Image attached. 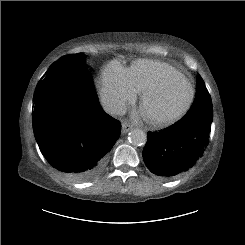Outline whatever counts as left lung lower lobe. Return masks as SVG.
<instances>
[{"label":"left lung lower lobe","mask_w":245,"mask_h":245,"mask_svg":"<svg viewBox=\"0 0 245 245\" xmlns=\"http://www.w3.org/2000/svg\"><path fill=\"white\" fill-rule=\"evenodd\" d=\"M195 98H199L202 114L198 120H180L159 132H148L143 158L148 169L161 178L171 179L192 168L208 145L212 101L203 80H197Z\"/></svg>","instance_id":"obj_1"}]
</instances>
